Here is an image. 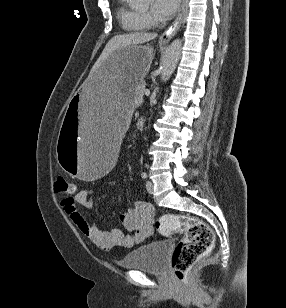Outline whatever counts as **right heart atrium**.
Instances as JSON below:
<instances>
[{"mask_svg": "<svg viewBox=\"0 0 286 308\" xmlns=\"http://www.w3.org/2000/svg\"><path fill=\"white\" fill-rule=\"evenodd\" d=\"M145 17H146V19L150 22V25H151V23H154L155 20H154L151 16H149L148 14H146Z\"/></svg>", "mask_w": 286, "mask_h": 308, "instance_id": "1", "label": "right heart atrium"}]
</instances>
